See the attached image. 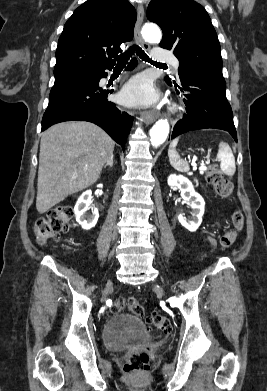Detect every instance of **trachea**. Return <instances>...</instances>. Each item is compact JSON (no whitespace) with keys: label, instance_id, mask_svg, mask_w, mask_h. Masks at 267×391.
<instances>
[{"label":"trachea","instance_id":"1","mask_svg":"<svg viewBox=\"0 0 267 391\" xmlns=\"http://www.w3.org/2000/svg\"><path fill=\"white\" fill-rule=\"evenodd\" d=\"M136 52V54L145 62L151 63L156 66H166L164 63H158L150 59L147 54L142 50L139 46L133 45L130 47L128 53L120 55L117 65H126L132 53Z\"/></svg>","mask_w":267,"mask_h":391}]
</instances>
